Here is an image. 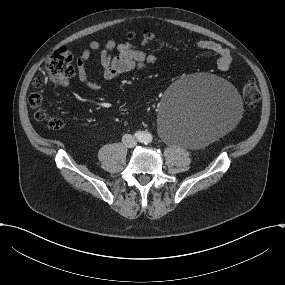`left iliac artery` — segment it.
Returning a JSON list of instances; mask_svg holds the SVG:
<instances>
[{
    "mask_svg": "<svg viewBox=\"0 0 285 285\" xmlns=\"http://www.w3.org/2000/svg\"><path fill=\"white\" fill-rule=\"evenodd\" d=\"M151 141V136L149 134H145L143 142L148 144Z\"/></svg>",
    "mask_w": 285,
    "mask_h": 285,
    "instance_id": "left-iliac-artery-1",
    "label": "left iliac artery"
}]
</instances>
